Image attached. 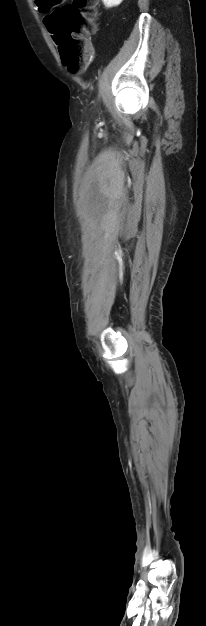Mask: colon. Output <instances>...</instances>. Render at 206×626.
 I'll return each mask as SVG.
<instances>
[{
    "instance_id": "5ec220e1",
    "label": "colon",
    "mask_w": 206,
    "mask_h": 626,
    "mask_svg": "<svg viewBox=\"0 0 206 626\" xmlns=\"http://www.w3.org/2000/svg\"><path fill=\"white\" fill-rule=\"evenodd\" d=\"M41 0V8L55 7L48 16V30L58 46L64 65L73 72H79L88 56V35L95 29V7L97 0Z\"/></svg>"
}]
</instances>
